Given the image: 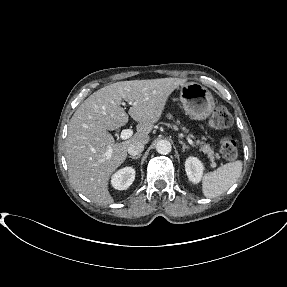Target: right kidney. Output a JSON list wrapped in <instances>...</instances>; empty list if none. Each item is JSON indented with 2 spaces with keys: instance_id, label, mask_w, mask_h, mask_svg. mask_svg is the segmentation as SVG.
I'll return each mask as SVG.
<instances>
[{
  "instance_id": "1",
  "label": "right kidney",
  "mask_w": 287,
  "mask_h": 287,
  "mask_svg": "<svg viewBox=\"0 0 287 287\" xmlns=\"http://www.w3.org/2000/svg\"><path fill=\"white\" fill-rule=\"evenodd\" d=\"M135 179V169L124 167L118 170L111 179L112 186L117 190L127 189Z\"/></svg>"
}]
</instances>
